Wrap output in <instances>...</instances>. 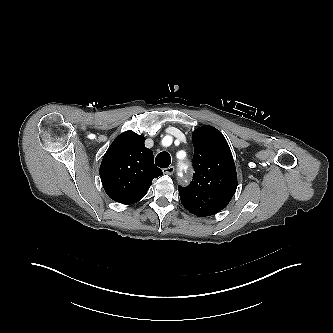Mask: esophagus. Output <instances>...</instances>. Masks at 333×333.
I'll return each mask as SVG.
<instances>
[{
    "label": "esophagus",
    "instance_id": "1",
    "mask_svg": "<svg viewBox=\"0 0 333 333\" xmlns=\"http://www.w3.org/2000/svg\"><path fill=\"white\" fill-rule=\"evenodd\" d=\"M164 174L172 175L175 171L174 166H169L168 168H165L162 170Z\"/></svg>",
    "mask_w": 333,
    "mask_h": 333
}]
</instances>
